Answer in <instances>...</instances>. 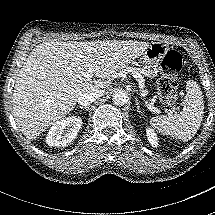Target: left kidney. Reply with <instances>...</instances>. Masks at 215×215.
<instances>
[{"label":"left kidney","mask_w":215,"mask_h":215,"mask_svg":"<svg viewBox=\"0 0 215 215\" xmlns=\"http://www.w3.org/2000/svg\"><path fill=\"white\" fill-rule=\"evenodd\" d=\"M146 136H147V140L149 141L152 147L154 148L158 147L159 139L153 128L151 127L146 128Z\"/></svg>","instance_id":"1"}]
</instances>
